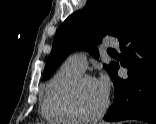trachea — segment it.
Segmentation results:
<instances>
[{"label": "trachea", "instance_id": "3493384b", "mask_svg": "<svg viewBox=\"0 0 156 124\" xmlns=\"http://www.w3.org/2000/svg\"><path fill=\"white\" fill-rule=\"evenodd\" d=\"M109 51H114V49H109Z\"/></svg>", "mask_w": 156, "mask_h": 124}]
</instances>
